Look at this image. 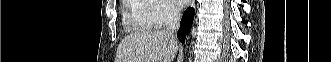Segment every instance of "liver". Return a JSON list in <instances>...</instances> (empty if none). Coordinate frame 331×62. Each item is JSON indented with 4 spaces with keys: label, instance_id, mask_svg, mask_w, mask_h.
I'll return each mask as SVG.
<instances>
[{
    "label": "liver",
    "instance_id": "1",
    "mask_svg": "<svg viewBox=\"0 0 331 62\" xmlns=\"http://www.w3.org/2000/svg\"><path fill=\"white\" fill-rule=\"evenodd\" d=\"M178 48L164 30L135 32L120 42L115 62H172Z\"/></svg>",
    "mask_w": 331,
    "mask_h": 62
}]
</instances>
